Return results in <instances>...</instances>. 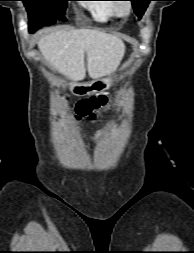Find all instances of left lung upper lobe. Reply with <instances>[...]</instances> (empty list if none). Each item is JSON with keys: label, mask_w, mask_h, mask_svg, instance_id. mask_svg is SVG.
Listing matches in <instances>:
<instances>
[{"label": "left lung upper lobe", "mask_w": 194, "mask_h": 253, "mask_svg": "<svg viewBox=\"0 0 194 253\" xmlns=\"http://www.w3.org/2000/svg\"><path fill=\"white\" fill-rule=\"evenodd\" d=\"M130 1L132 2L134 12L139 18H141L148 6V3L152 0H130Z\"/></svg>", "instance_id": "1"}]
</instances>
